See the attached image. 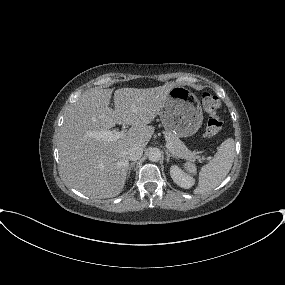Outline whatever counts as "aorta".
Returning <instances> with one entry per match:
<instances>
[{"mask_svg":"<svg viewBox=\"0 0 285 285\" xmlns=\"http://www.w3.org/2000/svg\"><path fill=\"white\" fill-rule=\"evenodd\" d=\"M161 151L158 148H152L148 152V158L152 162H158L161 159Z\"/></svg>","mask_w":285,"mask_h":285,"instance_id":"obj_1","label":"aorta"}]
</instances>
